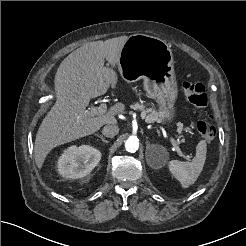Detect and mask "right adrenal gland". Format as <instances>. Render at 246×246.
<instances>
[{"mask_svg":"<svg viewBox=\"0 0 246 246\" xmlns=\"http://www.w3.org/2000/svg\"><path fill=\"white\" fill-rule=\"evenodd\" d=\"M97 137H99L101 140H102V142H104V143H108L109 141L108 140H106L102 135H100V134H95Z\"/></svg>","mask_w":246,"mask_h":246,"instance_id":"obj_1","label":"right adrenal gland"}]
</instances>
